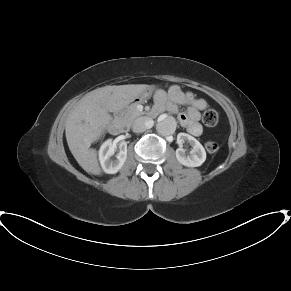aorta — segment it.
Instances as JSON below:
<instances>
[{
	"mask_svg": "<svg viewBox=\"0 0 291 291\" xmlns=\"http://www.w3.org/2000/svg\"><path fill=\"white\" fill-rule=\"evenodd\" d=\"M177 127V122L174 117L169 115H162L158 118L156 124V130L159 134L163 136L171 135L175 132Z\"/></svg>",
	"mask_w": 291,
	"mask_h": 291,
	"instance_id": "obj_1",
	"label": "aorta"
}]
</instances>
